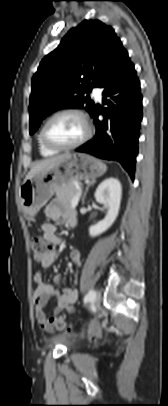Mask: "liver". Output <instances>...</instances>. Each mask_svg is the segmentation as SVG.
Returning a JSON list of instances; mask_svg holds the SVG:
<instances>
[{"mask_svg":"<svg viewBox=\"0 0 168 406\" xmlns=\"http://www.w3.org/2000/svg\"><path fill=\"white\" fill-rule=\"evenodd\" d=\"M68 156H69V154H63V155H58V156L47 158V159H44V160H41V161L37 162L30 169L29 173L26 176V179L31 178L33 175H35V174H37L39 172L46 171V170H49V169L55 167L61 161L66 159Z\"/></svg>","mask_w":168,"mask_h":406,"instance_id":"1","label":"liver"}]
</instances>
